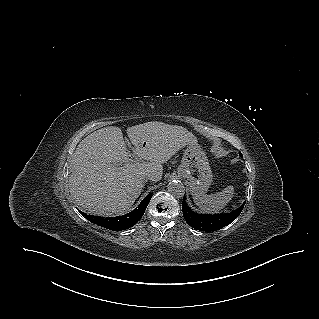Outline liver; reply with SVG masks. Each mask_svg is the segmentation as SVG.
Listing matches in <instances>:
<instances>
[{"label": "liver", "mask_w": 319, "mask_h": 319, "mask_svg": "<svg viewBox=\"0 0 319 319\" xmlns=\"http://www.w3.org/2000/svg\"><path fill=\"white\" fill-rule=\"evenodd\" d=\"M134 153L145 162L129 159L122 130L109 126L85 137L72 156L69 189L82 210L100 216L119 215L131 208L144 188L142 176L161 180L162 164L196 137L186 128L147 122L127 128ZM145 143V145H143Z\"/></svg>", "instance_id": "1"}]
</instances>
